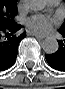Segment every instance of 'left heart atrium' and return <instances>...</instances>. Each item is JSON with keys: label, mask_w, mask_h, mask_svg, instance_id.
I'll use <instances>...</instances> for the list:
<instances>
[{"label": "left heart atrium", "mask_w": 65, "mask_h": 89, "mask_svg": "<svg viewBox=\"0 0 65 89\" xmlns=\"http://www.w3.org/2000/svg\"><path fill=\"white\" fill-rule=\"evenodd\" d=\"M55 24L56 20L54 18L45 15H34L25 21L28 30L39 35L48 34Z\"/></svg>", "instance_id": "39dd6f15"}]
</instances>
